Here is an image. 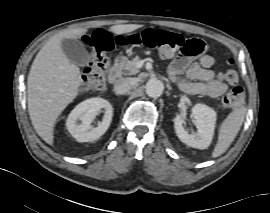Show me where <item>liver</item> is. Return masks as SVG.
<instances>
[{"label": "liver", "mask_w": 270, "mask_h": 213, "mask_svg": "<svg viewBox=\"0 0 270 213\" xmlns=\"http://www.w3.org/2000/svg\"><path fill=\"white\" fill-rule=\"evenodd\" d=\"M143 25H114L110 31L125 34ZM86 28L62 31L52 36L34 59L27 81L28 112L37 134L53 144L54 126L58 116L77 97L81 85L80 69L72 64L61 48L63 38L78 39Z\"/></svg>", "instance_id": "liver-1"}]
</instances>
